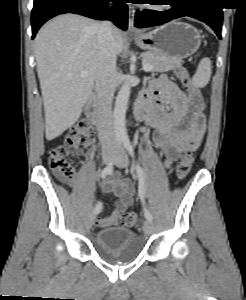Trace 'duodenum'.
<instances>
[{
	"label": "duodenum",
	"mask_w": 246,
	"mask_h": 300,
	"mask_svg": "<svg viewBox=\"0 0 246 300\" xmlns=\"http://www.w3.org/2000/svg\"><path fill=\"white\" fill-rule=\"evenodd\" d=\"M85 111L93 125L101 126L103 124L105 119V109L101 104L100 97L98 95H94L89 99ZM148 112V105L143 101V99L138 100L134 110L135 116L139 119H143Z\"/></svg>",
	"instance_id": "1"
}]
</instances>
